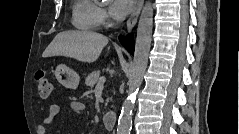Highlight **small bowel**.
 <instances>
[{"mask_svg": "<svg viewBox=\"0 0 239 134\" xmlns=\"http://www.w3.org/2000/svg\"><path fill=\"white\" fill-rule=\"evenodd\" d=\"M69 107L74 113L78 115L83 114L85 111V106L81 102L73 101L69 104ZM61 110L62 106L59 104H53L50 106L48 117L40 125L39 129L40 134H47L45 126L50 124L60 114Z\"/></svg>", "mask_w": 239, "mask_h": 134, "instance_id": "c3829d8e", "label": "small bowel"}]
</instances>
